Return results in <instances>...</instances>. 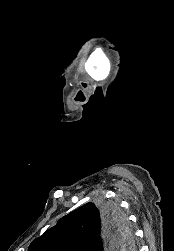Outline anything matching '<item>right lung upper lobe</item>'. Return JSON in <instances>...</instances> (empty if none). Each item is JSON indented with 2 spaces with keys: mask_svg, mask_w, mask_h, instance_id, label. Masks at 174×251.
Returning <instances> with one entry per match:
<instances>
[{
  "mask_svg": "<svg viewBox=\"0 0 174 251\" xmlns=\"http://www.w3.org/2000/svg\"><path fill=\"white\" fill-rule=\"evenodd\" d=\"M105 216L95 204L89 202L59 219L57 224L36 238L28 251H104L120 250L123 239L113 236V245L103 247L101 236Z\"/></svg>",
  "mask_w": 174,
  "mask_h": 251,
  "instance_id": "obj_1",
  "label": "right lung upper lobe"
}]
</instances>
